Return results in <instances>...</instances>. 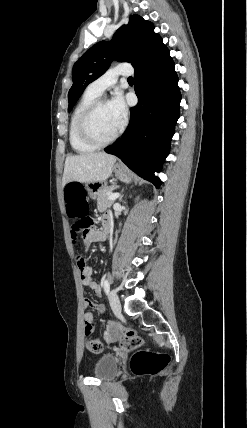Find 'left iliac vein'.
I'll return each mask as SVG.
<instances>
[{
  "label": "left iliac vein",
  "instance_id": "left-iliac-vein-1",
  "mask_svg": "<svg viewBox=\"0 0 247 428\" xmlns=\"http://www.w3.org/2000/svg\"><path fill=\"white\" fill-rule=\"evenodd\" d=\"M109 303H110V306H111L112 310L114 311V313L120 314L121 303H120V300H119L117 294L114 291H111L109 293Z\"/></svg>",
  "mask_w": 247,
  "mask_h": 428
}]
</instances>
